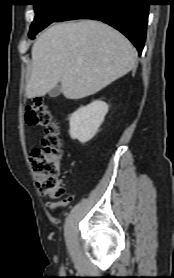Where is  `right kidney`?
<instances>
[{"label": "right kidney", "mask_w": 174, "mask_h": 278, "mask_svg": "<svg viewBox=\"0 0 174 278\" xmlns=\"http://www.w3.org/2000/svg\"><path fill=\"white\" fill-rule=\"evenodd\" d=\"M107 112L108 105L100 100L76 110L69 119L71 138L81 143L91 140L98 132Z\"/></svg>", "instance_id": "right-kidney-1"}]
</instances>
